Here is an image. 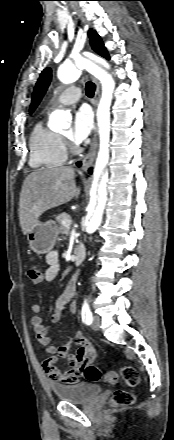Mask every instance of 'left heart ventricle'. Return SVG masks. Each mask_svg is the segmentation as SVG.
Returning a JSON list of instances; mask_svg holds the SVG:
<instances>
[{"instance_id":"1","label":"left heart ventricle","mask_w":174,"mask_h":440,"mask_svg":"<svg viewBox=\"0 0 174 440\" xmlns=\"http://www.w3.org/2000/svg\"><path fill=\"white\" fill-rule=\"evenodd\" d=\"M65 135H68V132H65Z\"/></svg>"}]
</instances>
